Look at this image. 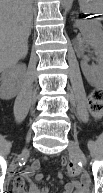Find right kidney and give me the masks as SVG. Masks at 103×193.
Wrapping results in <instances>:
<instances>
[{
	"instance_id": "obj_1",
	"label": "right kidney",
	"mask_w": 103,
	"mask_h": 193,
	"mask_svg": "<svg viewBox=\"0 0 103 193\" xmlns=\"http://www.w3.org/2000/svg\"><path fill=\"white\" fill-rule=\"evenodd\" d=\"M25 69V64H20L10 67L1 73L0 96L2 99H11L17 95L20 87V77Z\"/></svg>"
}]
</instances>
